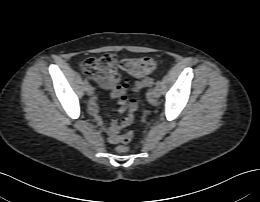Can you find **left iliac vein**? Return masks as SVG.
I'll return each instance as SVG.
<instances>
[{
  "label": "left iliac vein",
  "instance_id": "obj_1",
  "mask_svg": "<svg viewBox=\"0 0 260 202\" xmlns=\"http://www.w3.org/2000/svg\"><path fill=\"white\" fill-rule=\"evenodd\" d=\"M149 95L151 98H159L160 97L159 87L156 86L153 89H151Z\"/></svg>",
  "mask_w": 260,
  "mask_h": 202
}]
</instances>
